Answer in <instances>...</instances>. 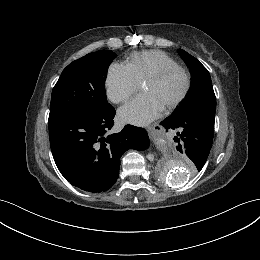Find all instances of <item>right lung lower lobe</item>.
<instances>
[{
  "mask_svg": "<svg viewBox=\"0 0 260 260\" xmlns=\"http://www.w3.org/2000/svg\"><path fill=\"white\" fill-rule=\"evenodd\" d=\"M115 113L111 107L93 117L65 116L48 121L54 161L72 185L89 192L107 191L119 176L125 151L148 147L147 132L140 127L126 125L121 132L106 136Z\"/></svg>",
  "mask_w": 260,
  "mask_h": 260,
  "instance_id": "right-lung-lower-lobe-1",
  "label": "right lung lower lobe"
}]
</instances>
